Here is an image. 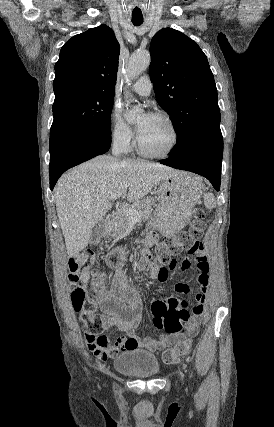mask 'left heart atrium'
<instances>
[{
    "label": "left heart atrium",
    "instance_id": "1",
    "mask_svg": "<svg viewBox=\"0 0 274 427\" xmlns=\"http://www.w3.org/2000/svg\"><path fill=\"white\" fill-rule=\"evenodd\" d=\"M150 115H148V114H146V115H144V120H143V122L139 125V126H137V131L139 132V131H141L142 129H143V127H144V125H145V122H146V120H147V118L149 117Z\"/></svg>",
    "mask_w": 274,
    "mask_h": 427
}]
</instances>
